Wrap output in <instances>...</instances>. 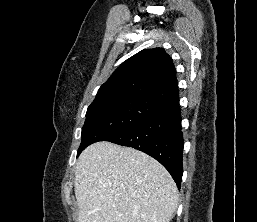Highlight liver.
<instances>
[{"label": "liver", "mask_w": 257, "mask_h": 222, "mask_svg": "<svg viewBox=\"0 0 257 222\" xmlns=\"http://www.w3.org/2000/svg\"><path fill=\"white\" fill-rule=\"evenodd\" d=\"M78 222H170L178 189L154 158L108 141L88 146L75 170Z\"/></svg>", "instance_id": "obj_1"}]
</instances>
